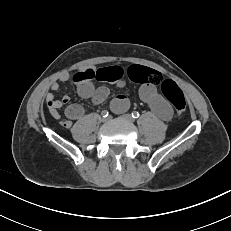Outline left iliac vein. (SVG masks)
<instances>
[{
	"label": "left iliac vein",
	"instance_id": "left-iliac-vein-1",
	"mask_svg": "<svg viewBox=\"0 0 231 231\" xmlns=\"http://www.w3.org/2000/svg\"><path fill=\"white\" fill-rule=\"evenodd\" d=\"M122 118L124 120L129 121V122H133L134 121L133 117L130 114H125V115L122 116Z\"/></svg>",
	"mask_w": 231,
	"mask_h": 231
}]
</instances>
